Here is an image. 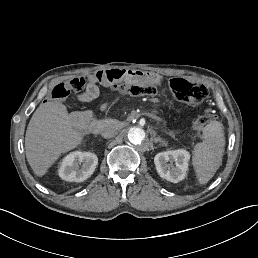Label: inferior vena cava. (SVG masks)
<instances>
[{
	"instance_id": "inferior-vena-cava-1",
	"label": "inferior vena cava",
	"mask_w": 258,
	"mask_h": 258,
	"mask_svg": "<svg viewBox=\"0 0 258 258\" xmlns=\"http://www.w3.org/2000/svg\"><path fill=\"white\" fill-rule=\"evenodd\" d=\"M117 132H118V129L114 124H108L102 128L101 135L104 138H112L117 134Z\"/></svg>"
}]
</instances>
